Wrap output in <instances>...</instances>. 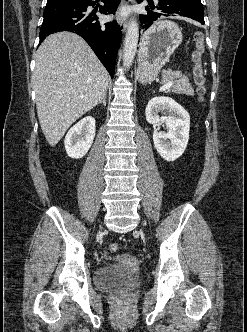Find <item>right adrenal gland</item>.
<instances>
[{"mask_svg":"<svg viewBox=\"0 0 247 332\" xmlns=\"http://www.w3.org/2000/svg\"><path fill=\"white\" fill-rule=\"evenodd\" d=\"M106 98H107V96L105 95L103 100L100 102V103H103L104 106H106Z\"/></svg>","mask_w":247,"mask_h":332,"instance_id":"right-adrenal-gland-1","label":"right adrenal gland"}]
</instances>
